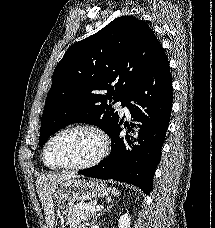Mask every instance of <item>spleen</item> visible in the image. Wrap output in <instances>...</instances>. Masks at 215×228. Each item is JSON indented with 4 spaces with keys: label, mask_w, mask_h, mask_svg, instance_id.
I'll use <instances>...</instances> for the list:
<instances>
[{
    "label": "spleen",
    "mask_w": 215,
    "mask_h": 228,
    "mask_svg": "<svg viewBox=\"0 0 215 228\" xmlns=\"http://www.w3.org/2000/svg\"><path fill=\"white\" fill-rule=\"evenodd\" d=\"M109 192H111V194H113V196H116V198H118V196L120 194V190H117V188H111V190H109Z\"/></svg>",
    "instance_id": "spleen-1"
}]
</instances>
